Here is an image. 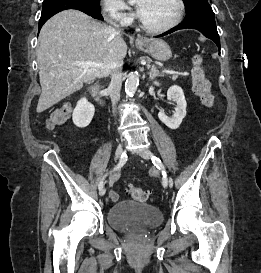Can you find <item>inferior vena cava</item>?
I'll return each instance as SVG.
<instances>
[{
  "instance_id": "obj_1",
  "label": "inferior vena cava",
  "mask_w": 261,
  "mask_h": 273,
  "mask_svg": "<svg viewBox=\"0 0 261 273\" xmlns=\"http://www.w3.org/2000/svg\"><path fill=\"white\" fill-rule=\"evenodd\" d=\"M116 26V24L114 23ZM122 65L123 61L118 60L113 63L109 69L111 82L109 85V94L112 101L113 112L115 114V109L117 102L120 99V91L122 86Z\"/></svg>"
}]
</instances>
